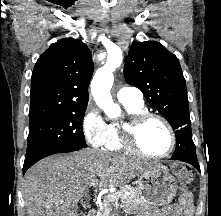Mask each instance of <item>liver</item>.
I'll return each instance as SVG.
<instances>
[{
    "instance_id": "1",
    "label": "liver",
    "mask_w": 221,
    "mask_h": 216,
    "mask_svg": "<svg viewBox=\"0 0 221 216\" xmlns=\"http://www.w3.org/2000/svg\"><path fill=\"white\" fill-rule=\"evenodd\" d=\"M155 166L93 149L46 157L25 174L22 195L27 216H79L78 203L90 187L122 186Z\"/></svg>"
}]
</instances>
